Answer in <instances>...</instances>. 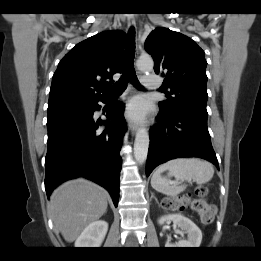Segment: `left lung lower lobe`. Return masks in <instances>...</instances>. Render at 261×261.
Returning a JSON list of instances; mask_svg holds the SVG:
<instances>
[{"mask_svg": "<svg viewBox=\"0 0 261 261\" xmlns=\"http://www.w3.org/2000/svg\"><path fill=\"white\" fill-rule=\"evenodd\" d=\"M207 117V114L187 106L172 112L160 111L159 124L149 132L146 176L158 165L180 157L203 158L219 168L208 132Z\"/></svg>", "mask_w": 261, "mask_h": 261, "instance_id": "0a47b994", "label": "left lung lower lobe"}]
</instances>
